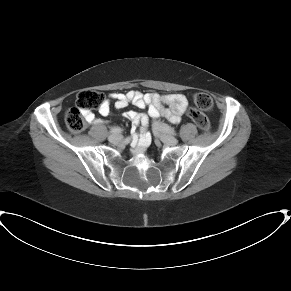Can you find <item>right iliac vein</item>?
<instances>
[{"label": "right iliac vein", "mask_w": 291, "mask_h": 291, "mask_svg": "<svg viewBox=\"0 0 291 291\" xmlns=\"http://www.w3.org/2000/svg\"><path fill=\"white\" fill-rule=\"evenodd\" d=\"M109 142L113 143V144H117L122 140V136L118 135V134H112L108 137Z\"/></svg>", "instance_id": "1"}]
</instances>
